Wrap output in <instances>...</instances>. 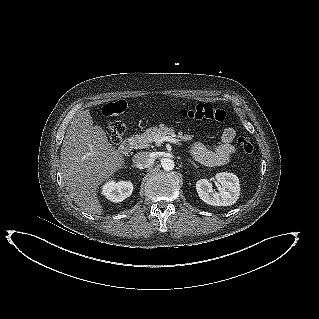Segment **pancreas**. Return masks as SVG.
<instances>
[{
	"instance_id": "obj_1",
	"label": "pancreas",
	"mask_w": 319,
	"mask_h": 319,
	"mask_svg": "<svg viewBox=\"0 0 319 319\" xmlns=\"http://www.w3.org/2000/svg\"><path fill=\"white\" fill-rule=\"evenodd\" d=\"M156 135H160V136L169 135V136L176 137V134L173 128H168L166 126L165 127L164 126L150 127L144 133L136 135L134 137V141H133L134 148L143 149L150 146L151 143L155 142L154 138ZM177 137L184 142L190 141L193 138L192 135H189L188 133L183 134V132H179Z\"/></svg>"
}]
</instances>
